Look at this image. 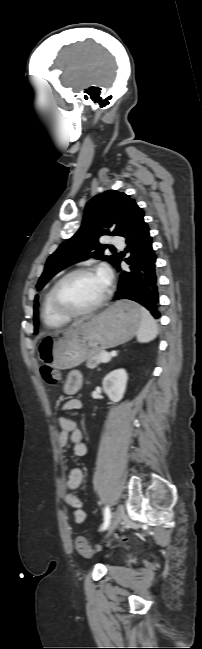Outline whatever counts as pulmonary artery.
Wrapping results in <instances>:
<instances>
[{"label":"pulmonary artery","instance_id":"pulmonary-artery-1","mask_svg":"<svg viewBox=\"0 0 202 649\" xmlns=\"http://www.w3.org/2000/svg\"><path fill=\"white\" fill-rule=\"evenodd\" d=\"M110 243H111L112 245H115V246H118V247L123 246V240H122L120 237H118V236H113V237H111V238H110Z\"/></svg>","mask_w":202,"mask_h":649}]
</instances>
